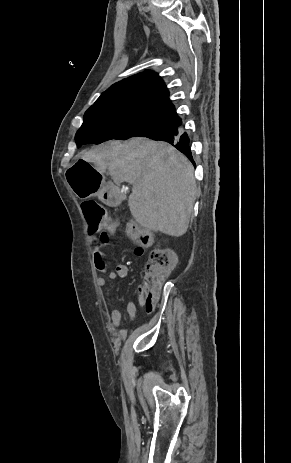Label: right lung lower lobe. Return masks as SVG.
<instances>
[{
    "instance_id": "right-lung-lower-lobe-1",
    "label": "right lung lower lobe",
    "mask_w": 291,
    "mask_h": 463,
    "mask_svg": "<svg viewBox=\"0 0 291 463\" xmlns=\"http://www.w3.org/2000/svg\"><path fill=\"white\" fill-rule=\"evenodd\" d=\"M166 121L169 123L168 127L164 128L163 130L159 132H155L150 135H147L145 137L153 139V140L165 141V142L170 143L175 148H177L180 152L185 154L187 158L195 166L192 153L190 150V140H189L187 133L183 131V128L181 127V123H179L177 119H174V120L170 119Z\"/></svg>"
}]
</instances>
